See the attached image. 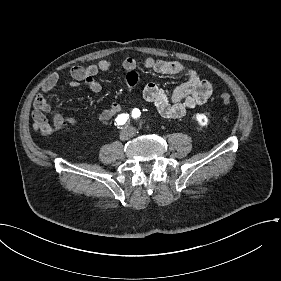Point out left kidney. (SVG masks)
Masks as SVG:
<instances>
[{"label": "left kidney", "mask_w": 281, "mask_h": 281, "mask_svg": "<svg viewBox=\"0 0 281 281\" xmlns=\"http://www.w3.org/2000/svg\"><path fill=\"white\" fill-rule=\"evenodd\" d=\"M196 119L200 126H206L208 123V118L204 114H196Z\"/></svg>", "instance_id": "left-kidney-1"}]
</instances>
